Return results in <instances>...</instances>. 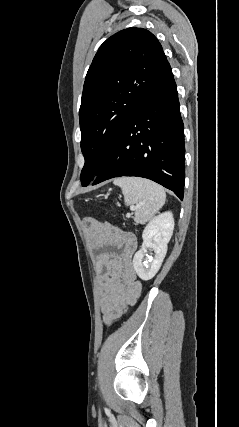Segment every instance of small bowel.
<instances>
[{
  "mask_svg": "<svg viewBox=\"0 0 239 427\" xmlns=\"http://www.w3.org/2000/svg\"><path fill=\"white\" fill-rule=\"evenodd\" d=\"M85 224L92 248L96 251L101 310L105 323L109 325L135 304L141 293L142 285L133 265L137 241L132 233L107 222L88 219Z\"/></svg>",
  "mask_w": 239,
  "mask_h": 427,
  "instance_id": "obj_1",
  "label": "small bowel"
}]
</instances>
